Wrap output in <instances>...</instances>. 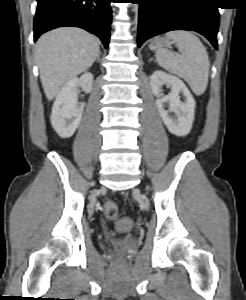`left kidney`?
Instances as JSON below:
<instances>
[{
  "label": "left kidney",
  "instance_id": "5707ae66",
  "mask_svg": "<svg viewBox=\"0 0 246 300\" xmlns=\"http://www.w3.org/2000/svg\"><path fill=\"white\" fill-rule=\"evenodd\" d=\"M164 84L171 85V92L161 97L160 91ZM150 85L153 94L157 97L156 106L169 132L182 137L189 134L194 121L196 102L184 82L176 76L169 75L162 71H155L150 77ZM185 96V102L180 101L179 93ZM164 103L169 105L165 110ZM173 112L176 118L169 115Z\"/></svg>",
  "mask_w": 246,
  "mask_h": 300
}]
</instances>
